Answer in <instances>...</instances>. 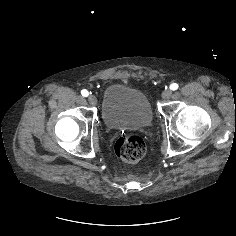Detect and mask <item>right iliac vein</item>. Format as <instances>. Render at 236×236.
Returning a JSON list of instances; mask_svg holds the SVG:
<instances>
[{"label":"right iliac vein","mask_w":236,"mask_h":236,"mask_svg":"<svg viewBox=\"0 0 236 236\" xmlns=\"http://www.w3.org/2000/svg\"><path fill=\"white\" fill-rule=\"evenodd\" d=\"M88 101L93 106L97 104V98L94 95H89L88 96Z\"/></svg>","instance_id":"obj_1"}]
</instances>
